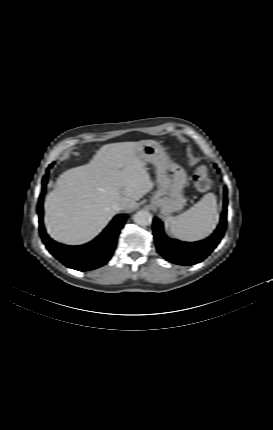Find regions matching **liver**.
Returning a JSON list of instances; mask_svg holds the SVG:
<instances>
[{"mask_svg":"<svg viewBox=\"0 0 273 430\" xmlns=\"http://www.w3.org/2000/svg\"><path fill=\"white\" fill-rule=\"evenodd\" d=\"M139 142L102 146L85 165L65 171L46 198L45 224L56 241L80 245L92 240L116 214L113 205L125 201V211L153 188L137 156Z\"/></svg>","mask_w":273,"mask_h":430,"instance_id":"6515ba94","label":"liver"}]
</instances>
